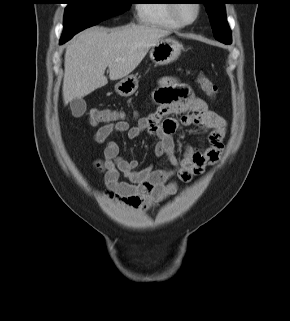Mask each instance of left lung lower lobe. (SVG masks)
Returning a JSON list of instances; mask_svg holds the SVG:
<instances>
[{
	"label": "left lung lower lobe",
	"instance_id": "0a47b994",
	"mask_svg": "<svg viewBox=\"0 0 290 321\" xmlns=\"http://www.w3.org/2000/svg\"><path fill=\"white\" fill-rule=\"evenodd\" d=\"M220 42H221V41H220ZM222 43H224V44H230L231 41H224V42H222Z\"/></svg>",
	"mask_w": 290,
	"mask_h": 321
}]
</instances>
